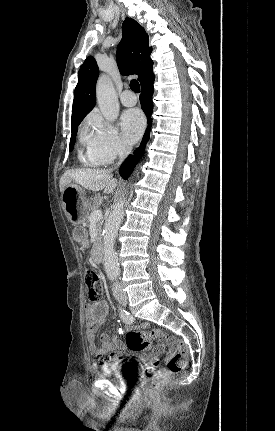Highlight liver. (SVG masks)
Returning a JSON list of instances; mask_svg holds the SVG:
<instances>
[{"mask_svg":"<svg viewBox=\"0 0 275 431\" xmlns=\"http://www.w3.org/2000/svg\"><path fill=\"white\" fill-rule=\"evenodd\" d=\"M71 182L93 192L104 190L106 194L113 192L117 186V179L113 178L110 171L95 169L67 170L60 179V191L63 192Z\"/></svg>","mask_w":275,"mask_h":431,"instance_id":"obj_1","label":"liver"}]
</instances>
